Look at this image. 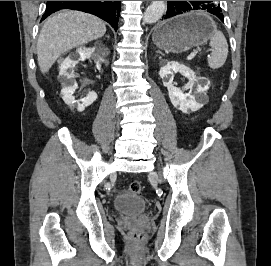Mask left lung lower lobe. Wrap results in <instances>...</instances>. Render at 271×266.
I'll use <instances>...</instances> for the list:
<instances>
[{
  "instance_id": "left-lung-lower-lobe-1",
  "label": "left lung lower lobe",
  "mask_w": 271,
  "mask_h": 266,
  "mask_svg": "<svg viewBox=\"0 0 271 266\" xmlns=\"http://www.w3.org/2000/svg\"><path fill=\"white\" fill-rule=\"evenodd\" d=\"M196 9L205 10L216 15L224 22L222 10L218 1H168L167 12L163 18L167 19Z\"/></svg>"
}]
</instances>
